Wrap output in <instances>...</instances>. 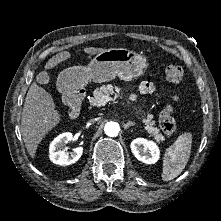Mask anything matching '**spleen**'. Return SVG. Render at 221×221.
<instances>
[{
	"label": "spleen",
	"mask_w": 221,
	"mask_h": 221,
	"mask_svg": "<svg viewBox=\"0 0 221 221\" xmlns=\"http://www.w3.org/2000/svg\"><path fill=\"white\" fill-rule=\"evenodd\" d=\"M192 134H181L176 141L166 149L163 158L162 180L170 181L181 174L191 153Z\"/></svg>",
	"instance_id": "1"
}]
</instances>
